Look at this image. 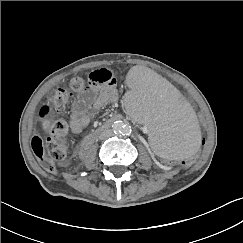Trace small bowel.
<instances>
[{"label":"small bowel","instance_id":"small-bowel-1","mask_svg":"<svg viewBox=\"0 0 243 243\" xmlns=\"http://www.w3.org/2000/svg\"><path fill=\"white\" fill-rule=\"evenodd\" d=\"M97 72L99 71L97 70ZM117 101L118 91L116 80L110 85L90 84L88 89L80 94L72 105L70 116L71 132L79 134L89 125L94 114L99 112L106 105Z\"/></svg>","mask_w":243,"mask_h":243}]
</instances>
